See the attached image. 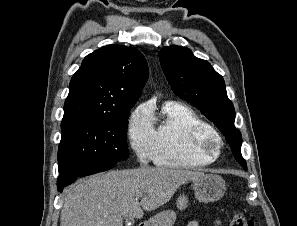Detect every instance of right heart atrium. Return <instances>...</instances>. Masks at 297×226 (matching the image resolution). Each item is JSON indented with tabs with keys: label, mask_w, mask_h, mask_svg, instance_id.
Instances as JSON below:
<instances>
[{
	"label": "right heart atrium",
	"mask_w": 297,
	"mask_h": 226,
	"mask_svg": "<svg viewBox=\"0 0 297 226\" xmlns=\"http://www.w3.org/2000/svg\"><path fill=\"white\" fill-rule=\"evenodd\" d=\"M127 138L129 145L141 163L154 157V127L148 106H138L130 115Z\"/></svg>",
	"instance_id": "d8ad5b80"
}]
</instances>
